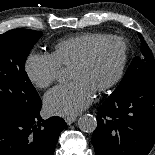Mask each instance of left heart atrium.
I'll list each match as a JSON object with an SVG mask.
<instances>
[{
    "label": "left heart atrium",
    "mask_w": 155,
    "mask_h": 155,
    "mask_svg": "<svg viewBox=\"0 0 155 155\" xmlns=\"http://www.w3.org/2000/svg\"><path fill=\"white\" fill-rule=\"evenodd\" d=\"M94 93L85 83L75 80L50 90L44 97V105L52 115L73 117L91 103Z\"/></svg>",
    "instance_id": "left-heart-atrium-1"
}]
</instances>
